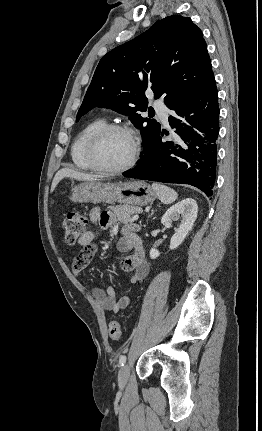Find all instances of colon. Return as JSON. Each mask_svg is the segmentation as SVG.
<instances>
[{"label": "colon", "mask_w": 262, "mask_h": 431, "mask_svg": "<svg viewBox=\"0 0 262 431\" xmlns=\"http://www.w3.org/2000/svg\"><path fill=\"white\" fill-rule=\"evenodd\" d=\"M88 225V219L80 213H69L64 222V240L67 244H75L83 235ZM108 334L112 340H119L121 336L120 324L112 321L108 324Z\"/></svg>", "instance_id": "5ec220e1"}]
</instances>
